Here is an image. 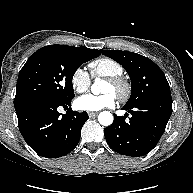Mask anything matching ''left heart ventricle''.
<instances>
[{"label": "left heart ventricle", "instance_id": "1", "mask_svg": "<svg viewBox=\"0 0 193 193\" xmlns=\"http://www.w3.org/2000/svg\"><path fill=\"white\" fill-rule=\"evenodd\" d=\"M102 93H112L116 96V89L107 81L104 82L103 87L101 89Z\"/></svg>", "mask_w": 193, "mask_h": 193}]
</instances>
